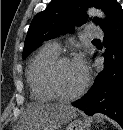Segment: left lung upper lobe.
Masks as SVG:
<instances>
[{
	"mask_svg": "<svg viewBox=\"0 0 123 130\" xmlns=\"http://www.w3.org/2000/svg\"><path fill=\"white\" fill-rule=\"evenodd\" d=\"M102 9L107 22L94 17V21L102 28L107 29L113 22L118 10L121 8L116 0H55L47 8L38 13L32 20L23 49L25 59L34 48L43 41L73 30L75 25L87 21L88 7Z\"/></svg>",
	"mask_w": 123,
	"mask_h": 130,
	"instance_id": "left-lung-upper-lobe-1",
	"label": "left lung upper lobe"
}]
</instances>
